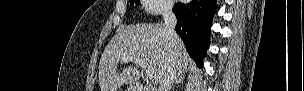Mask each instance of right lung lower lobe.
<instances>
[{
  "label": "right lung lower lobe",
  "instance_id": "right-lung-lower-lobe-1",
  "mask_svg": "<svg viewBox=\"0 0 304 91\" xmlns=\"http://www.w3.org/2000/svg\"><path fill=\"white\" fill-rule=\"evenodd\" d=\"M173 12L177 18L176 32L182 38L186 50L199 67L209 45L212 18L216 12V0H192L178 3Z\"/></svg>",
  "mask_w": 304,
  "mask_h": 91
}]
</instances>
